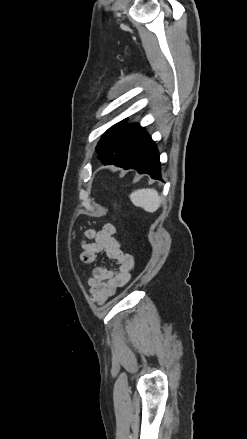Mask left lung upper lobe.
I'll return each mask as SVG.
<instances>
[{"instance_id":"5c2ea615","label":"left lung upper lobe","mask_w":247,"mask_h":439,"mask_svg":"<svg viewBox=\"0 0 247 439\" xmlns=\"http://www.w3.org/2000/svg\"><path fill=\"white\" fill-rule=\"evenodd\" d=\"M125 120L109 128L98 143V158L105 164L122 167L137 136L142 131L139 124L126 125Z\"/></svg>"}]
</instances>
